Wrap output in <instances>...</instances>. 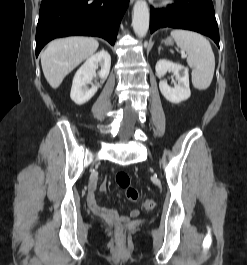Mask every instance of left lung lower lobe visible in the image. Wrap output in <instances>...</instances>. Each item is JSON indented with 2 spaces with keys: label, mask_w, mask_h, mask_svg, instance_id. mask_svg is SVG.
Wrapping results in <instances>:
<instances>
[{
  "label": "left lung lower lobe",
  "mask_w": 247,
  "mask_h": 265,
  "mask_svg": "<svg viewBox=\"0 0 247 265\" xmlns=\"http://www.w3.org/2000/svg\"><path fill=\"white\" fill-rule=\"evenodd\" d=\"M164 27L187 29L209 36L219 47V30L212 0H176L167 10L150 8V32Z\"/></svg>",
  "instance_id": "left-lung-lower-lobe-1"
}]
</instances>
